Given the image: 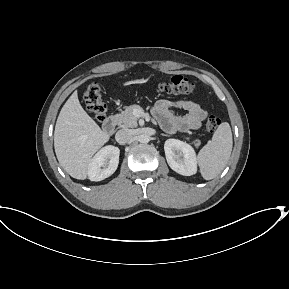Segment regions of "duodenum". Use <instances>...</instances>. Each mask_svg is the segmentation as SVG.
I'll list each match as a JSON object with an SVG mask.
<instances>
[{
  "instance_id": "1",
  "label": "duodenum",
  "mask_w": 289,
  "mask_h": 289,
  "mask_svg": "<svg viewBox=\"0 0 289 289\" xmlns=\"http://www.w3.org/2000/svg\"><path fill=\"white\" fill-rule=\"evenodd\" d=\"M116 129V120L114 117H108L103 123V130L108 133H114Z\"/></svg>"
}]
</instances>
